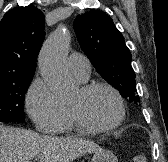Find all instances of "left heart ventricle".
<instances>
[{
    "instance_id": "obj_1",
    "label": "left heart ventricle",
    "mask_w": 168,
    "mask_h": 162,
    "mask_svg": "<svg viewBox=\"0 0 168 162\" xmlns=\"http://www.w3.org/2000/svg\"><path fill=\"white\" fill-rule=\"evenodd\" d=\"M81 115L94 125H106L118 115V105L114 96L106 89H96L84 94L81 89L70 102Z\"/></svg>"
}]
</instances>
